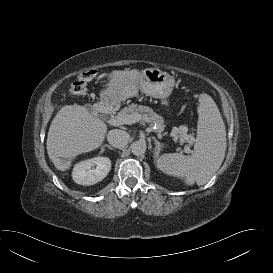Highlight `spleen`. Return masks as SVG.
I'll use <instances>...</instances> for the list:
<instances>
[{"label":"spleen","instance_id":"1","mask_svg":"<svg viewBox=\"0 0 273 273\" xmlns=\"http://www.w3.org/2000/svg\"><path fill=\"white\" fill-rule=\"evenodd\" d=\"M197 136L190 156L163 154L157 167L164 173L185 180L187 185L206 184L221 166L226 150V130L214 100L201 94L198 105Z\"/></svg>","mask_w":273,"mask_h":273}]
</instances>
